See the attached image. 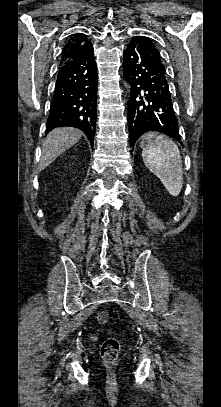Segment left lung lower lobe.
<instances>
[{
  "label": "left lung lower lobe",
  "mask_w": 221,
  "mask_h": 407,
  "mask_svg": "<svg viewBox=\"0 0 221 407\" xmlns=\"http://www.w3.org/2000/svg\"><path fill=\"white\" fill-rule=\"evenodd\" d=\"M123 68L131 85L127 106L130 144L134 146L148 131L166 134L181 143L166 71L153 58L151 47L139 37L131 40L124 51Z\"/></svg>",
  "instance_id": "left-lung-lower-lobe-1"
}]
</instances>
